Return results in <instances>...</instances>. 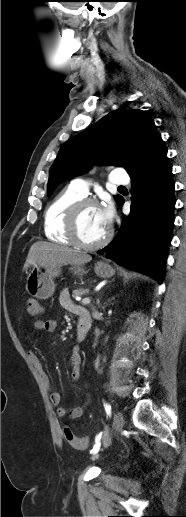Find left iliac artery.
<instances>
[{"label": "left iliac artery", "mask_w": 186, "mask_h": 517, "mask_svg": "<svg viewBox=\"0 0 186 517\" xmlns=\"http://www.w3.org/2000/svg\"><path fill=\"white\" fill-rule=\"evenodd\" d=\"M104 408H105V411H106L107 415H108V416H110V415H111V406H110V404H108V403H104ZM100 440H101V434H98V435L96 436V438H95V444H94V447H93V449L90 451V453H91V454H96V453L99 451L100 446H101V442H100Z\"/></svg>", "instance_id": "1"}]
</instances>
